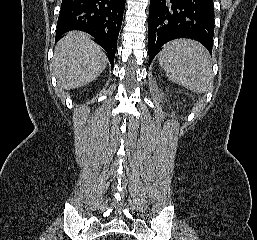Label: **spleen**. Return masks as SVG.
Instances as JSON below:
<instances>
[{
	"instance_id": "3e777b00",
	"label": "spleen",
	"mask_w": 257,
	"mask_h": 240,
	"mask_svg": "<svg viewBox=\"0 0 257 240\" xmlns=\"http://www.w3.org/2000/svg\"><path fill=\"white\" fill-rule=\"evenodd\" d=\"M159 65L168 78L194 93H205L213 87L212 64L207 50L190 39H176L163 46Z\"/></svg>"
}]
</instances>
